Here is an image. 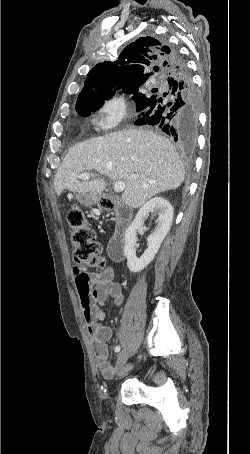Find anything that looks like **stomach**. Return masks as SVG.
Segmentation results:
<instances>
[{
  "instance_id": "stomach-1",
  "label": "stomach",
  "mask_w": 250,
  "mask_h": 454,
  "mask_svg": "<svg viewBox=\"0 0 250 454\" xmlns=\"http://www.w3.org/2000/svg\"><path fill=\"white\" fill-rule=\"evenodd\" d=\"M81 198L87 204H96L99 201V195L96 193H82Z\"/></svg>"
}]
</instances>
